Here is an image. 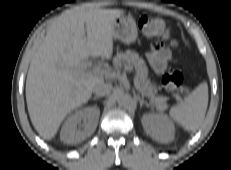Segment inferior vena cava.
<instances>
[{
	"label": "inferior vena cava",
	"mask_w": 231,
	"mask_h": 170,
	"mask_svg": "<svg viewBox=\"0 0 231 170\" xmlns=\"http://www.w3.org/2000/svg\"><path fill=\"white\" fill-rule=\"evenodd\" d=\"M112 90V85L108 83H104L103 81L98 82L93 87V93L96 94V96H105L109 94Z\"/></svg>",
	"instance_id": "obj_1"
}]
</instances>
